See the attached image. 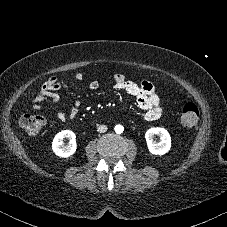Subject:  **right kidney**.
I'll return each mask as SVG.
<instances>
[{
    "mask_svg": "<svg viewBox=\"0 0 227 227\" xmlns=\"http://www.w3.org/2000/svg\"><path fill=\"white\" fill-rule=\"evenodd\" d=\"M69 139V143L64 145V140ZM76 136L71 130H63L56 134L52 142L53 152L62 158L70 157L76 151Z\"/></svg>",
    "mask_w": 227,
    "mask_h": 227,
    "instance_id": "1",
    "label": "right kidney"
}]
</instances>
